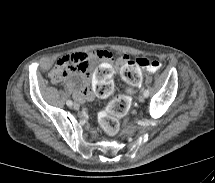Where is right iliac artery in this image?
<instances>
[{"mask_svg": "<svg viewBox=\"0 0 215 183\" xmlns=\"http://www.w3.org/2000/svg\"><path fill=\"white\" fill-rule=\"evenodd\" d=\"M69 107H71L73 105V102L71 100H68L66 103Z\"/></svg>", "mask_w": 215, "mask_h": 183, "instance_id": "1", "label": "right iliac artery"}]
</instances>
